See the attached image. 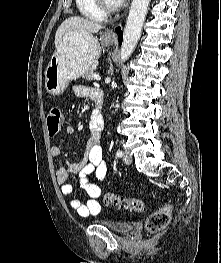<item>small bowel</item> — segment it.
Returning a JSON list of instances; mask_svg holds the SVG:
<instances>
[{
  "label": "small bowel",
  "mask_w": 221,
  "mask_h": 263,
  "mask_svg": "<svg viewBox=\"0 0 221 263\" xmlns=\"http://www.w3.org/2000/svg\"><path fill=\"white\" fill-rule=\"evenodd\" d=\"M73 91L76 96L90 97L93 99L94 94L102 93L98 89H90L83 85H75ZM91 132L87 140L84 156L79 161H69L61 157V149L58 146L51 147V155L58 164L56 180L60 185L61 193L70 197V206L77 211L80 216L96 215L101 210L99 198L101 188L99 184L91 183L89 175L94 174L97 181L102 183L107 174V164L103 156L102 149V128H97L91 121ZM66 134H74L75 128L72 125H65ZM73 173L79 175V184L82 190L87 194L88 199L82 203L77 197H73V186L68 183L69 176Z\"/></svg>",
  "instance_id": "c3829d8e"
}]
</instances>
